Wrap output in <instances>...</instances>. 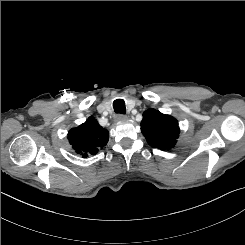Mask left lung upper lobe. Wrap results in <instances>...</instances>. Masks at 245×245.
Here are the masks:
<instances>
[{"label":"left lung upper lobe","mask_w":245,"mask_h":245,"mask_svg":"<svg viewBox=\"0 0 245 245\" xmlns=\"http://www.w3.org/2000/svg\"><path fill=\"white\" fill-rule=\"evenodd\" d=\"M141 131L150 146L166 150L174 147L180 129L175 118L148 109L143 113Z\"/></svg>","instance_id":"5c2ea615"}]
</instances>
